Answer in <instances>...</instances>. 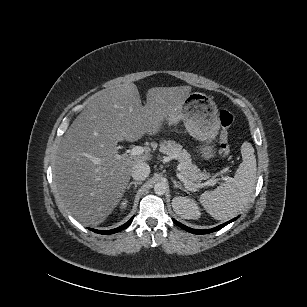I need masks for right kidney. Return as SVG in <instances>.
Wrapping results in <instances>:
<instances>
[{
	"label": "right kidney",
	"instance_id": "obj_1",
	"mask_svg": "<svg viewBox=\"0 0 307 307\" xmlns=\"http://www.w3.org/2000/svg\"><path fill=\"white\" fill-rule=\"evenodd\" d=\"M128 204H129L128 197L127 196L123 197L118 206L119 213H124L128 207Z\"/></svg>",
	"mask_w": 307,
	"mask_h": 307
}]
</instances>
